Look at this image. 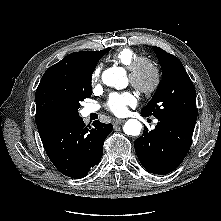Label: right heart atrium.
<instances>
[{"label": "right heart atrium", "mask_w": 221, "mask_h": 221, "mask_svg": "<svg viewBox=\"0 0 221 221\" xmlns=\"http://www.w3.org/2000/svg\"><path fill=\"white\" fill-rule=\"evenodd\" d=\"M100 74H101V68L100 66H97L92 75H91V84L92 86H96L99 84V81H100Z\"/></svg>", "instance_id": "d8ad5b80"}]
</instances>
